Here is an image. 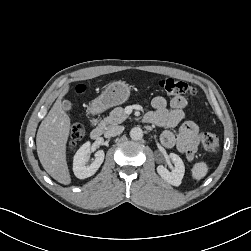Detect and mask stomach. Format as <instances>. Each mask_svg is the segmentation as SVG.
I'll list each match as a JSON object with an SVG mask.
<instances>
[{
  "mask_svg": "<svg viewBox=\"0 0 251 251\" xmlns=\"http://www.w3.org/2000/svg\"><path fill=\"white\" fill-rule=\"evenodd\" d=\"M130 87L124 81H113L105 88L101 95L94 99L90 105L92 113H100L106 109L120 105L128 100Z\"/></svg>",
  "mask_w": 251,
  "mask_h": 251,
  "instance_id": "obj_1",
  "label": "stomach"
}]
</instances>
